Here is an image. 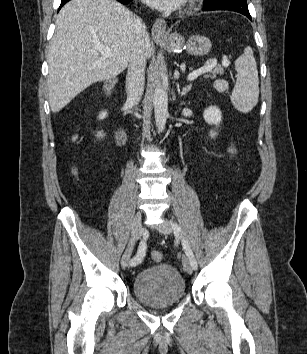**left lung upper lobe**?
Wrapping results in <instances>:
<instances>
[{"instance_id":"1","label":"left lung upper lobe","mask_w":307,"mask_h":354,"mask_svg":"<svg viewBox=\"0 0 307 354\" xmlns=\"http://www.w3.org/2000/svg\"><path fill=\"white\" fill-rule=\"evenodd\" d=\"M218 3H227V4H235V3H243L247 4L246 0H204L203 5L208 6L211 4H218Z\"/></svg>"}]
</instances>
